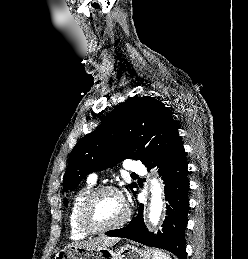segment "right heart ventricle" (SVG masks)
Segmentation results:
<instances>
[{"label":"right heart ventricle","mask_w":248,"mask_h":259,"mask_svg":"<svg viewBox=\"0 0 248 259\" xmlns=\"http://www.w3.org/2000/svg\"><path fill=\"white\" fill-rule=\"evenodd\" d=\"M92 190H93V183L88 182L85 186L80 188L72 198L70 209H69V215H68V224H69L70 233L74 238H83L88 234L80 227L77 219V214H78V209L80 207L81 202L84 200L87 194Z\"/></svg>","instance_id":"right-heart-ventricle-1"}]
</instances>
